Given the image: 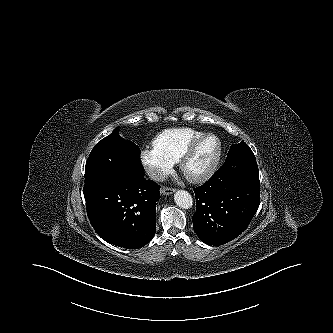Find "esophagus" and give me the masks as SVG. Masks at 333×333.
I'll return each mask as SVG.
<instances>
[{
    "label": "esophagus",
    "instance_id": "1",
    "mask_svg": "<svg viewBox=\"0 0 333 333\" xmlns=\"http://www.w3.org/2000/svg\"><path fill=\"white\" fill-rule=\"evenodd\" d=\"M174 192H175L174 188H170V187H163V188H161V194L162 195H171Z\"/></svg>",
    "mask_w": 333,
    "mask_h": 333
}]
</instances>
